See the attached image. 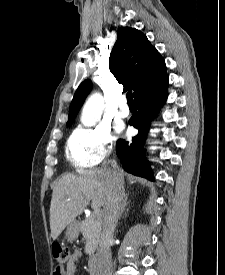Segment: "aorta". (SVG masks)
Segmentation results:
<instances>
[{"instance_id": "762f6f07", "label": "aorta", "mask_w": 225, "mask_h": 275, "mask_svg": "<svg viewBox=\"0 0 225 275\" xmlns=\"http://www.w3.org/2000/svg\"><path fill=\"white\" fill-rule=\"evenodd\" d=\"M103 108L104 100L102 95L99 93L91 95L83 107L81 122L85 126L94 125L100 119Z\"/></svg>"}]
</instances>
